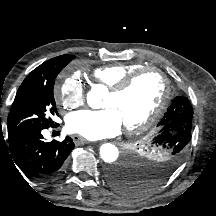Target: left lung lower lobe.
I'll return each mask as SVG.
<instances>
[{
  "mask_svg": "<svg viewBox=\"0 0 216 216\" xmlns=\"http://www.w3.org/2000/svg\"><path fill=\"white\" fill-rule=\"evenodd\" d=\"M106 178L119 192L133 195L136 178L129 168L113 167L107 171Z\"/></svg>",
  "mask_w": 216,
  "mask_h": 216,
  "instance_id": "1",
  "label": "left lung lower lobe"
}]
</instances>
